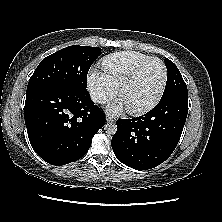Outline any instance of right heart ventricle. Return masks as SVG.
<instances>
[{"mask_svg":"<svg viewBox=\"0 0 222 222\" xmlns=\"http://www.w3.org/2000/svg\"><path fill=\"white\" fill-rule=\"evenodd\" d=\"M148 55L135 51H119L107 55L102 59V67L105 74L119 87L121 82L132 72V70Z\"/></svg>","mask_w":222,"mask_h":222,"instance_id":"e07e8e85","label":"right heart ventricle"}]
</instances>
